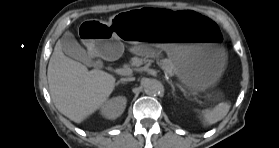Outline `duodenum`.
Here are the masks:
<instances>
[{
	"label": "duodenum",
	"mask_w": 279,
	"mask_h": 148,
	"mask_svg": "<svg viewBox=\"0 0 279 148\" xmlns=\"http://www.w3.org/2000/svg\"><path fill=\"white\" fill-rule=\"evenodd\" d=\"M102 66H103L102 60L98 59V60L96 61V67H97V68H102Z\"/></svg>",
	"instance_id": "410a0bca"
}]
</instances>
